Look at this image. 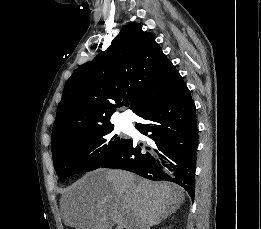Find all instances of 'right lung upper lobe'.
Listing matches in <instances>:
<instances>
[{"mask_svg":"<svg viewBox=\"0 0 261 229\" xmlns=\"http://www.w3.org/2000/svg\"><path fill=\"white\" fill-rule=\"evenodd\" d=\"M180 77L155 36L143 32L139 23H129L106 51L68 79L52 129L51 150L71 135L72 128L111 124L115 108L125 98L141 114Z\"/></svg>","mask_w":261,"mask_h":229,"instance_id":"1","label":"right lung upper lobe"}]
</instances>
